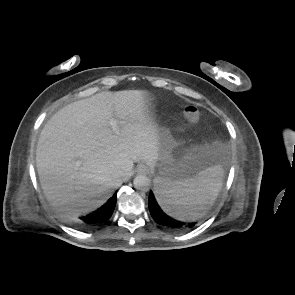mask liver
<instances>
[{"label":"liver","mask_w":295,"mask_h":295,"mask_svg":"<svg viewBox=\"0 0 295 295\" xmlns=\"http://www.w3.org/2000/svg\"><path fill=\"white\" fill-rule=\"evenodd\" d=\"M145 90L103 91L56 112L40 133L36 167L48 202L60 212H91L132 175L153 168L160 136ZM118 120L115 133L109 123Z\"/></svg>","instance_id":"obj_1"}]
</instances>
